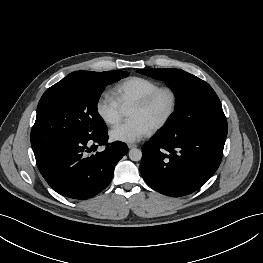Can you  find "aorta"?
<instances>
[{"label": "aorta", "instance_id": "aorta-1", "mask_svg": "<svg viewBox=\"0 0 263 263\" xmlns=\"http://www.w3.org/2000/svg\"><path fill=\"white\" fill-rule=\"evenodd\" d=\"M129 158L132 161H140L142 158V152L140 149L133 148L129 151Z\"/></svg>", "mask_w": 263, "mask_h": 263}]
</instances>
